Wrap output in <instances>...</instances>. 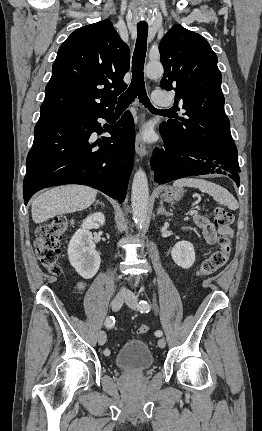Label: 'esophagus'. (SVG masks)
Returning a JSON list of instances; mask_svg holds the SVG:
<instances>
[{
  "instance_id": "obj_1",
  "label": "esophagus",
  "mask_w": 262,
  "mask_h": 431,
  "mask_svg": "<svg viewBox=\"0 0 262 431\" xmlns=\"http://www.w3.org/2000/svg\"><path fill=\"white\" fill-rule=\"evenodd\" d=\"M135 150H136V153L138 154V156L140 158L145 157L147 154V147H146L145 143L143 142L140 133L136 134Z\"/></svg>"
}]
</instances>
